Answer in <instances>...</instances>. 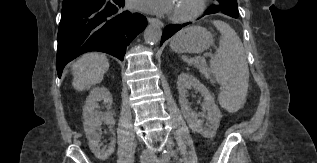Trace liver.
<instances>
[{"instance_id": "obj_1", "label": "liver", "mask_w": 317, "mask_h": 163, "mask_svg": "<svg viewBox=\"0 0 317 163\" xmlns=\"http://www.w3.org/2000/svg\"><path fill=\"white\" fill-rule=\"evenodd\" d=\"M109 69V61L104 54L86 53L72 65V86L77 91L90 89L99 84Z\"/></svg>"}]
</instances>
